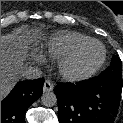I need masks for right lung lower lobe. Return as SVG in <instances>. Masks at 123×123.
Returning <instances> with one entry per match:
<instances>
[{
  "instance_id": "obj_1",
  "label": "right lung lower lobe",
  "mask_w": 123,
  "mask_h": 123,
  "mask_svg": "<svg viewBox=\"0 0 123 123\" xmlns=\"http://www.w3.org/2000/svg\"><path fill=\"white\" fill-rule=\"evenodd\" d=\"M44 79L18 82L1 101V123H25V112L43 91Z\"/></svg>"
}]
</instances>
